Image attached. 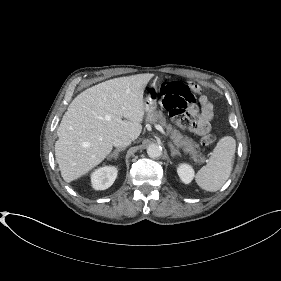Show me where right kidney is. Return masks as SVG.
I'll list each match as a JSON object with an SVG mask.
<instances>
[{"mask_svg": "<svg viewBox=\"0 0 281 281\" xmlns=\"http://www.w3.org/2000/svg\"><path fill=\"white\" fill-rule=\"evenodd\" d=\"M117 168L114 166H105L96 169L91 174L92 187L95 190H105L109 188L117 177Z\"/></svg>", "mask_w": 281, "mask_h": 281, "instance_id": "right-kidney-1", "label": "right kidney"}]
</instances>
